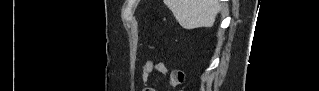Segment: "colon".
Wrapping results in <instances>:
<instances>
[{"label": "colon", "mask_w": 319, "mask_h": 91, "mask_svg": "<svg viewBox=\"0 0 319 91\" xmlns=\"http://www.w3.org/2000/svg\"><path fill=\"white\" fill-rule=\"evenodd\" d=\"M179 82H182V77L180 78Z\"/></svg>", "instance_id": "5ec220e1"}]
</instances>
